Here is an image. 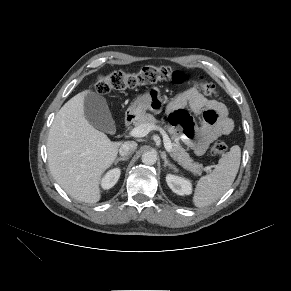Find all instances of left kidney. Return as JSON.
Returning a JSON list of instances; mask_svg holds the SVG:
<instances>
[{
    "mask_svg": "<svg viewBox=\"0 0 291 291\" xmlns=\"http://www.w3.org/2000/svg\"><path fill=\"white\" fill-rule=\"evenodd\" d=\"M166 182L170 189L178 195H189L192 193V184L188 179L167 174Z\"/></svg>",
    "mask_w": 291,
    "mask_h": 291,
    "instance_id": "1",
    "label": "left kidney"
}]
</instances>
